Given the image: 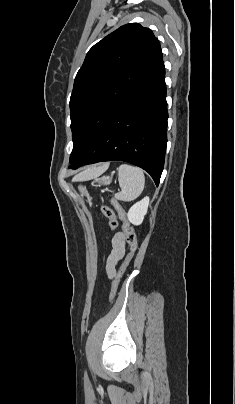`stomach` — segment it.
Listing matches in <instances>:
<instances>
[{
	"mask_svg": "<svg viewBox=\"0 0 235 404\" xmlns=\"http://www.w3.org/2000/svg\"><path fill=\"white\" fill-rule=\"evenodd\" d=\"M112 179H113V174H111L110 176H102L101 178H96L95 182L98 183V186L109 185L111 183ZM79 191L82 196H84V195L88 196V191L86 190L85 187L79 186Z\"/></svg>",
	"mask_w": 235,
	"mask_h": 404,
	"instance_id": "1",
	"label": "stomach"
}]
</instances>
